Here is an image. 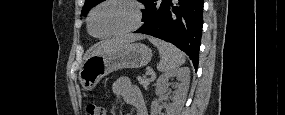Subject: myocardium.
I'll return each instance as SVG.
<instances>
[{
    "mask_svg": "<svg viewBox=\"0 0 285 115\" xmlns=\"http://www.w3.org/2000/svg\"><path fill=\"white\" fill-rule=\"evenodd\" d=\"M121 3V4H125L128 5L133 13V17H134V22L133 25L129 28L120 30V31H116V32H112V33H107V34H96L93 32L92 30V26H91V21H92V16L94 14V12L101 7L102 5L106 4V3ZM143 23V11H142V6L140 5V3L138 1L135 0H105L102 1L101 3L97 4L96 6H94L87 17V26H88V31L89 33L94 36V37H98V38H109V37H115V36H121V35H126V34H130L133 33L135 31H137Z\"/></svg>",
    "mask_w": 285,
    "mask_h": 115,
    "instance_id": "1",
    "label": "myocardium"
}]
</instances>
